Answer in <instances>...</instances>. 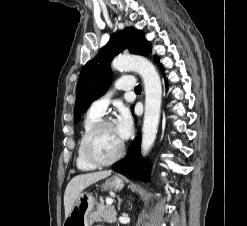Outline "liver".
Returning a JSON list of instances; mask_svg holds the SVG:
<instances>
[{
    "mask_svg": "<svg viewBox=\"0 0 247 226\" xmlns=\"http://www.w3.org/2000/svg\"><path fill=\"white\" fill-rule=\"evenodd\" d=\"M110 174L111 171H100L85 173L72 178L64 193L65 218L68 217L75 201L86 187L108 177Z\"/></svg>",
    "mask_w": 247,
    "mask_h": 226,
    "instance_id": "6515ba94",
    "label": "liver"
}]
</instances>
